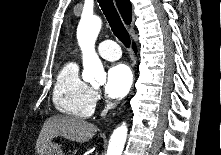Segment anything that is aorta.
<instances>
[{"label":"aorta","mask_w":221,"mask_h":155,"mask_svg":"<svg viewBox=\"0 0 221 155\" xmlns=\"http://www.w3.org/2000/svg\"><path fill=\"white\" fill-rule=\"evenodd\" d=\"M101 19L97 16L83 17L77 28V39L83 55L82 77L87 82H104L106 73L95 51V41L101 29ZM125 123L117 127L110 138L107 155H122L127 138Z\"/></svg>","instance_id":"aorta-1"}]
</instances>
